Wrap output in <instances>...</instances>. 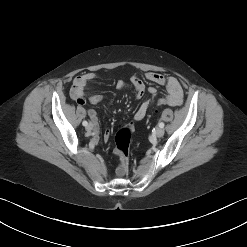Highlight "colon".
<instances>
[{
	"label": "colon",
	"instance_id": "colon-1",
	"mask_svg": "<svg viewBox=\"0 0 247 247\" xmlns=\"http://www.w3.org/2000/svg\"><path fill=\"white\" fill-rule=\"evenodd\" d=\"M169 105L167 98H161L157 101L158 107ZM132 137V128L125 127L120 129L115 137V152L119 157V172H126L129 164V148Z\"/></svg>",
	"mask_w": 247,
	"mask_h": 247
}]
</instances>
